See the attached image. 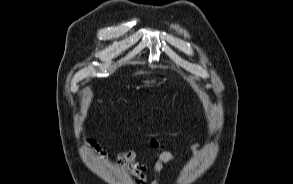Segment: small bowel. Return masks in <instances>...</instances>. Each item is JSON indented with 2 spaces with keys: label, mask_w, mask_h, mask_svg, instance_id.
<instances>
[{
  "label": "small bowel",
  "mask_w": 293,
  "mask_h": 184,
  "mask_svg": "<svg viewBox=\"0 0 293 184\" xmlns=\"http://www.w3.org/2000/svg\"><path fill=\"white\" fill-rule=\"evenodd\" d=\"M108 139L113 140L111 137H108ZM86 143L91 146L102 159L105 158L106 153L96 139L87 138ZM150 146L155 150V160L152 165H147L138 160L135 152L132 150H119L116 165L117 171H123L129 168L135 175V184H159L161 173L165 165L169 163L175 165L176 174L179 175L180 166L176 157L170 151L163 148L156 139L150 140ZM191 149L194 154L197 153L198 145L192 144ZM149 173H152L151 179H149Z\"/></svg>",
  "instance_id": "small-bowel-1"
}]
</instances>
